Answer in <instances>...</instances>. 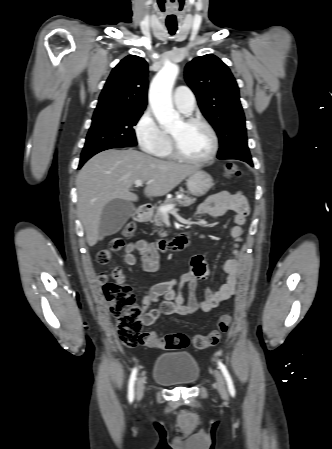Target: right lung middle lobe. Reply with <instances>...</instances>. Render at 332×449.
Returning <instances> with one entry per match:
<instances>
[{
    "instance_id": "obj_1",
    "label": "right lung middle lobe",
    "mask_w": 332,
    "mask_h": 449,
    "mask_svg": "<svg viewBox=\"0 0 332 449\" xmlns=\"http://www.w3.org/2000/svg\"><path fill=\"white\" fill-rule=\"evenodd\" d=\"M142 114V111H119L93 115L81 156L105 148L136 146L137 140L133 126Z\"/></svg>"
}]
</instances>
